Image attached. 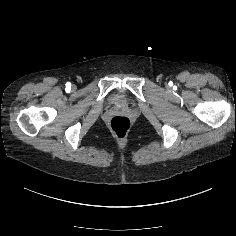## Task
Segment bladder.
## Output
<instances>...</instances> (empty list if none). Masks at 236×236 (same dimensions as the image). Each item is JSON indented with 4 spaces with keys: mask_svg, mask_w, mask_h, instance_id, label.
I'll list each match as a JSON object with an SVG mask.
<instances>
[{
    "mask_svg": "<svg viewBox=\"0 0 236 236\" xmlns=\"http://www.w3.org/2000/svg\"><path fill=\"white\" fill-rule=\"evenodd\" d=\"M129 98V96L127 95V93L125 91H120L119 92V96L118 98H116V102L117 103H123V100H127Z\"/></svg>",
    "mask_w": 236,
    "mask_h": 236,
    "instance_id": "obj_1",
    "label": "bladder"
}]
</instances>
